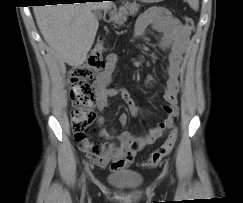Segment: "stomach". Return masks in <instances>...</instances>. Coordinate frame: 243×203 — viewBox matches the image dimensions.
<instances>
[{
  "mask_svg": "<svg viewBox=\"0 0 243 203\" xmlns=\"http://www.w3.org/2000/svg\"><path fill=\"white\" fill-rule=\"evenodd\" d=\"M140 1L144 3H157V2H162L163 0H140Z\"/></svg>",
  "mask_w": 243,
  "mask_h": 203,
  "instance_id": "1",
  "label": "stomach"
}]
</instances>
